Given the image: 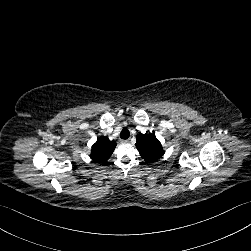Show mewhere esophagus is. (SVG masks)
<instances>
[{"label":"esophagus","instance_id":"obj_1","mask_svg":"<svg viewBox=\"0 0 251 251\" xmlns=\"http://www.w3.org/2000/svg\"><path fill=\"white\" fill-rule=\"evenodd\" d=\"M122 144H126V143H129V140H121L120 141Z\"/></svg>","mask_w":251,"mask_h":251}]
</instances>
